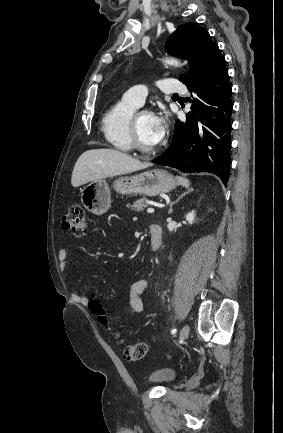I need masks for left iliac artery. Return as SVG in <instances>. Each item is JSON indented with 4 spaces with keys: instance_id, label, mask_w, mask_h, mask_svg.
I'll return each instance as SVG.
<instances>
[{
    "instance_id": "left-iliac-artery-1",
    "label": "left iliac artery",
    "mask_w": 283,
    "mask_h": 433,
    "mask_svg": "<svg viewBox=\"0 0 283 433\" xmlns=\"http://www.w3.org/2000/svg\"><path fill=\"white\" fill-rule=\"evenodd\" d=\"M176 331H177V329L173 328V329L171 330V333H172V334H175Z\"/></svg>"
}]
</instances>
